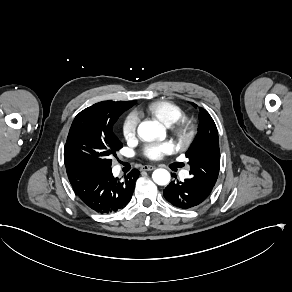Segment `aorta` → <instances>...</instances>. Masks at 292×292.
I'll return each mask as SVG.
<instances>
[{"instance_id":"aorta-1","label":"aorta","mask_w":292,"mask_h":292,"mask_svg":"<svg viewBox=\"0 0 292 292\" xmlns=\"http://www.w3.org/2000/svg\"><path fill=\"white\" fill-rule=\"evenodd\" d=\"M138 135L145 141H151L157 137L165 138V128L157 121H145L138 126ZM153 181L161 186L170 182V173L166 169H156L152 174Z\"/></svg>"}]
</instances>
